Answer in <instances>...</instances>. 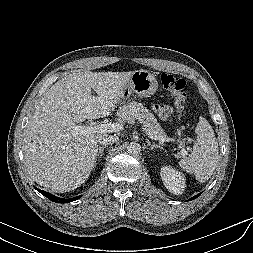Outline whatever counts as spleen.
<instances>
[{
  "mask_svg": "<svg viewBox=\"0 0 253 253\" xmlns=\"http://www.w3.org/2000/svg\"><path fill=\"white\" fill-rule=\"evenodd\" d=\"M196 141L191 154L179 161L181 169L194 174L200 182L208 180L219 162L218 143L208 121L200 117L195 128Z\"/></svg>",
  "mask_w": 253,
  "mask_h": 253,
  "instance_id": "spleen-1",
  "label": "spleen"
}]
</instances>
